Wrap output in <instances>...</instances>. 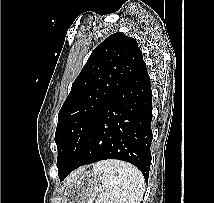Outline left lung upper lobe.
Here are the masks:
<instances>
[{
    "label": "left lung upper lobe",
    "mask_w": 214,
    "mask_h": 203,
    "mask_svg": "<svg viewBox=\"0 0 214 203\" xmlns=\"http://www.w3.org/2000/svg\"><path fill=\"white\" fill-rule=\"evenodd\" d=\"M142 60L137 41L122 32L112 34L93 50L58 113L59 177L79 153L100 113Z\"/></svg>",
    "instance_id": "5c2ea615"
}]
</instances>
